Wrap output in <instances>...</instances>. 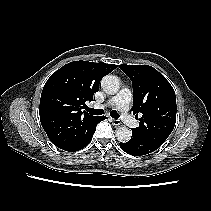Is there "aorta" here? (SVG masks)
Listing matches in <instances>:
<instances>
[{"mask_svg": "<svg viewBox=\"0 0 211 211\" xmlns=\"http://www.w3.org/2000/svg\"><path fill=\"white\" fill-rule=\"evenodd\" d=\"M101 87L107 94H115L120 87V79L114 75H106L101 81ZM116 137L119 142L126 143L132 137V132L125 126H121L116 130Z\"/></svg>", "mask_w": 211, "mask_h": 211, "instance_id": "1", "label": "aorta"}]
</instances>
